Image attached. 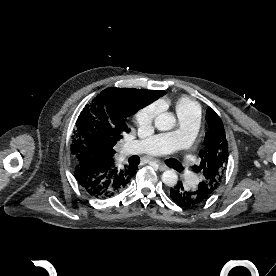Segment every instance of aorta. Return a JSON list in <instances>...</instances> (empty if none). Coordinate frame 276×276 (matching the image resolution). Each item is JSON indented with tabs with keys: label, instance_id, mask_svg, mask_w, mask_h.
Returning <instances> with one entry per match:
<instances>
[{
	"label": "aorta",
	"instance_id": "aorta-1",
	"mask_svg": "<svg viewBox=\"0 0 276 276\" xmlns=\"http://www.w3.org/2000/svg\"><path fill=\"white\" fill-rule=\"evenodd\" d=\"M155 127L160 131L171 130L176 124L175 116L170 112H163L155 118ZM162 182L167 186H174L177 184L178 175L174 170H166L162 174Z\"/></svg>",
	"mask_w": 276,
	"mask_h": 276
}]
</instances>
